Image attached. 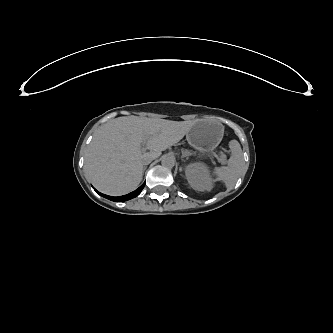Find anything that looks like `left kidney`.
<instances>
[{"label":"left kidney","instance_id":"5707ae66","mask_svg":"<svg viewBox=\"0 0 333 333\" xmlns=\"http://www.w3.org/2000/svg\"><path fill=\"white\" fill-rule=\"evenodd\" d=\"M185 176L190 186L197 191H210L215 179L210 167L204 162L190 163L185 167Z\"/></svg>","mask_w":333,"mask_h":333}]
</instances>
